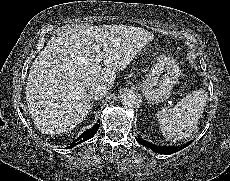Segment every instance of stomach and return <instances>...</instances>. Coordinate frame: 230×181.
I'll return each instance as SVG.
<instances>
[{
    "label": "stomach",
    "mask_w": 230,
    "mask_h": 181,
    "mask_svg": "<svg viewBox=\"0 0 230 181\" xmlns=\"http://www.w3.org/2000/svg\"><path fill=\"white\" fill-rule=\"evenodd\" d=\"M178 77L179 68L175 60L163 55L139 87L150 104H158L165 102L170 97Z\"/></svg>",
    "instance_id": "0dacf381"
}]
</instances>
